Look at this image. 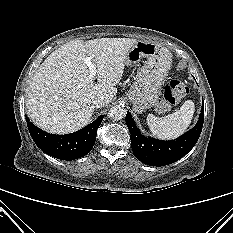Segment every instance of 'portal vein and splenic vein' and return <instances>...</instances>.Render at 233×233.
Wrapping results in <instances>:
<instances>
[{
  "mask_svg": "<svg viewBox=\"0 0 233 233\" xmlns=\"http://www.w3.org/2000/svg\"><path fill=\"white\" fill-rule=\"evenodd\" d=\"M84 63L88 66L89 68V78L92 81L96 74H97V69L95 65L92 63V58L91 57H85L84 58Z\"/></svg>",
  "mask_w": 233,
  "mask_h": 233,
  "instance_id": "obj_1",
  "label": "portal vein and splenic vein"
}]
</instances>
